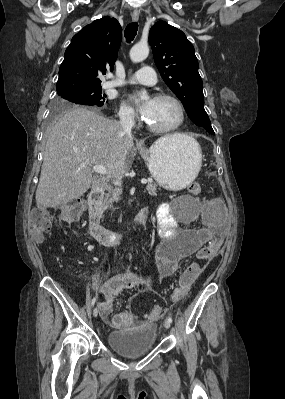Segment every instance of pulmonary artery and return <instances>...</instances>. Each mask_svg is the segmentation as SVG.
Returning <instances> with one entry per match:
<instances>
[{
	"instance_id": "obj_1",
	"label": "pulmonary artery",
	"mask_w": 285,
	"mask_h": 399,
	"mask_svg": "<svg viewBox=\"0 0 285 399\" xmlns=\"http://www.w3.org/2000/svg\"><path fill=\"white\" fill-rule=\"evenodd\" d=\"M144 84V85H153L156 83V76L153 70L148 67H142L140 70L135 72L132 76H130L125 81H118V80H109L106 82V87H116L123 84Z\"/></svg>"
}]
</instances>
